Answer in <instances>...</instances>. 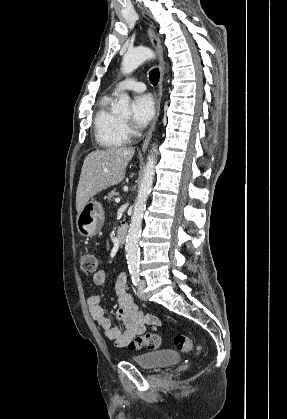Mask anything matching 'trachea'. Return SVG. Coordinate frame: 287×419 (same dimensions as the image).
I'll return each instance as SVG.
<instances>
[{
  "label": "trachea",
  "mask_w": 287,
  "mask_h": 419,
  "mask_svg": "<svg viewBox=\"0 0 287 419\" xmlns=\"http://www.w3.org/2000/svg\"><path fill=\"white\" fill-rule=\"evenodd\" d=\"M149 80H150L152 85H157V83L159 81V70H158V68L152 69L149 72Z\"/></svg>",
  "instance_id": "trachea-1"
}]
</instances>
